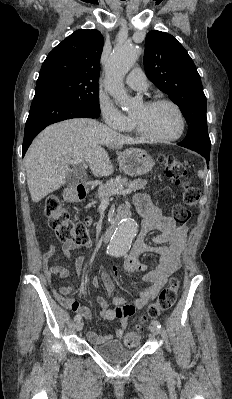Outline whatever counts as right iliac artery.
<instances>
[{
	"instance_id": "obj_1",
	"label": "right iliac artery",
	"mask_w": 232,
	"mask_h": 399,
	"mask_svg": "<svg viewBox=\"0 0 232 399\" xmlns=\"http://www.w3.org/2000/svg\"><path fill=\"white\" fill-rule=\"evenodd\" d=\"M81 319H82V317H81L80 314H77V315H75V317H74V320H75L76 322L81 321Z\"/></svg>"
}]
</instances>
